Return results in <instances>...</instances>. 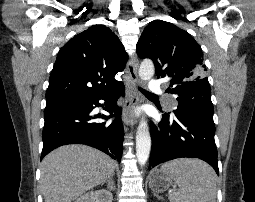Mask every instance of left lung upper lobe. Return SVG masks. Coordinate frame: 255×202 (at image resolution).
I'll list each match as a JSON object with an SVG mask.
<instances>
[{
	"label": "left lung upper lobe",
	"instance_id": "left-lung-upper-lobe-1",
	"mask_svg": "<svg viewBox=\"0 0 255 202\" xmlns=\"http://www.w3.org/2000/svg\"><path fill=\"white\" fill-rule=\"evenodd\" d=\"M140 58H150L159 77H170L178 113H197L213 118V104L205 76L203 52L194 38L172 23L156 20L144 29L138 43Z\"/></svg>",
	"mask_w": 255,
	"mask_h": 202
}]
</instances>
